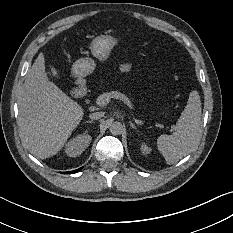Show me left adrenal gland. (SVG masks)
<instances>
[{
	"instance_id": "left-adrenal-gland-1",
	"label": "left adrenal gland",
	"mask_w": 233,
	"mask_h": 233,
	"mask_svg": "<svg viewBox=\"0 0 233 233\" xmlns=\"http://www.w3.org/2000/svg\"><path fill=\"white\" fill-rule=\"evenodd\" d=\"M129 123H130V125H131L132 127H134L135 129H138L137 126L135 125V123H134L133 121H129Z\"/></svg>"
}]
</instances>
